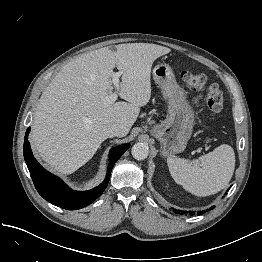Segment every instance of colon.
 I'll list each match as a JSON object with an SVG mask.
<instances>
[{"mask_svg": "<svg viewBox=\"0 0 262 262\" xmlns=\"http://www.w3.org/2000/svg\"><path fill=\"white\" fill-rule=\"evenodd\" d=\"M181 78L193 91H206V105L212 116H216L223 108L224 94L215 83H209L207 77L199 72L183 71Z\"/></svg>", "mask_w": 262, "mask_h": 262, "instance_id": "5ec220e1", "label": "colon"}]
</instances>
